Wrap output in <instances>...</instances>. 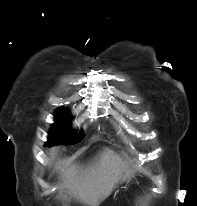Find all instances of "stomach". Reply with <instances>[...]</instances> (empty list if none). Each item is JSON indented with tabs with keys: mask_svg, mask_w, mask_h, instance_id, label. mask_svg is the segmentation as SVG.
I'll use <instances>...</instances> for the list:
<instances>
[{
	"mask_svg": "<svg viewBox=\"0 0 197 206\" xmlns=\"http://www.w3.org/2000/svg\"><path fill=\"white\" fill-rule=\"evenodd\" d=\"M133 172L131 170H125L121 176L120 182H126L131 179Z\"/></svg>",
	"mask_w": 197,
	"mask_h": 206,
	"instance_id": "1",
	"label": "stomach"
}]
</instances>
